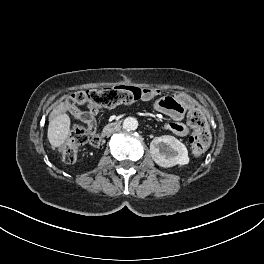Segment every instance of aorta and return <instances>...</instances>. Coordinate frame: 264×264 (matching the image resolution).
I'll return each mask as SVG.
<instances>
[{"label": "aorta", "mask_w": 264, "mask_h": 264, "mask_svg": "<svg viewBox=\"0 0 264 264\" xmlns=\"http://www.w3.org/2000/svg\"><path fill=\"white\" fill-rule=\"evenodd\" d=\"M138 127V121L133 117H127L123 121V128L128 131L136 130Z\"/></svg>", "instance_id": "762f6f07"}]
</instances>
